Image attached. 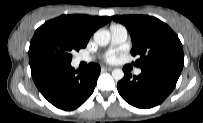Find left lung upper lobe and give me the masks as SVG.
Here are the masks:
<instances>
[{
    "label": "left lung upper lobe",
    "instance_id": "obj_1",
    "mask_svg": "<svg viewBox=\"0 0 203 123\" xmlns=\"http://www.w3.org/2000/svg\"><path fill=\"white\" fill-rule=\"evenodd\" d=\"M128 29L138 56L135 65L141 69L166 68L181 71L184 65L182 44L173 30L161 20L147 15L112 16Z\"/></svg>",
    "mask_w": 203,
    "mask_h": 123
}]
</instances>
